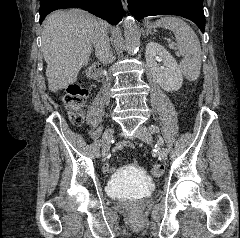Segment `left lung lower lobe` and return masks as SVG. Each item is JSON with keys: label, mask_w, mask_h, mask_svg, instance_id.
Here are the masks:
<instances>
[{"label": "left lung lower lobe", "mask_w": 240, "mask_h": 238, "mask_svg": "<svg viewBox=\"0 0 240 238\" xmlns=\"http://www.w3.org/2000/svg\"><path fill=\"white\" fill-rule=\"evenodd\" d=\"M128 9L137 20L156 15L182 16L205 31L203 0H128Z\"/></svg>", "instance_id": "1"}]
</instances>
